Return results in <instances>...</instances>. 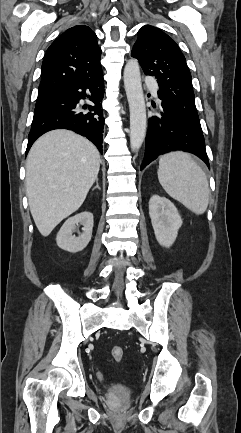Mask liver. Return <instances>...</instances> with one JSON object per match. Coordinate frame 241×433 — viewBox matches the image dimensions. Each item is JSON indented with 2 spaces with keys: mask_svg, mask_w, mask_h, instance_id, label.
<instances>
[{
  "mask_svg": "<svg viewBox=\"0 0 241 433\" xmlns=\"http://www.w3.org/2000/svg\"><path fill=\"white\" fill-rule=\"evenodd\" d=\"M99 169L96 147L72 131L53 130L33 144L26 161V189L32 217L42 236H48L79 209Z\"/></svg>",
  "mask_w": 241,
  "mask_h": 433,
  "instance_id": "liver-1",
  "label": "liver"
}]
</instances>
